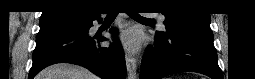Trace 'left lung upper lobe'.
Masks as SVG:
<instances>
[{
    "label": "left lung upper lobe",
    "instance_id": "left-lung-upper-lobe-1",
    "mask_svg": "<svg viewBox=\"0 0 255 79\" xmlns=\"http://www.w3.org/2000/svg\"><path fill=\"white\" fill-rule=\"evenodd\" d=\"M159 8L166 20L164 25L166 32H157L156 35L164 38L168 33H172L181 29H210V15L202 12H182L181 3L173 0L159 1Z\"/></svg>",
    "mask_w": 255,
    "mask_h": 79
}]
</instances>
